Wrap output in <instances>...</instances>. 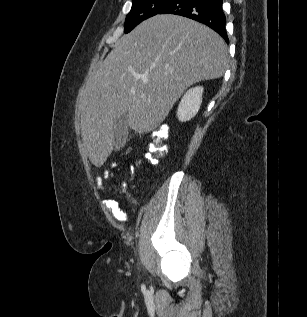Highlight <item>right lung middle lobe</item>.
<instances>
[{
  "mask_svg": "<svg viewBox=\"0 0 307 317\" xmlns=\"http://www.w3.org/2000/svg\"><path fill=\"white\" fill-rule=\"evenodd\" d=\"M172 0H132V8L125 19V33L142 21L159 14Z\"/></svg>",
  "mask_w": 307,
  "mask_h": 317,
  "instance_id": "right-lung-middle-lobe-1",
  "label": "right lung middle lobe"
}]
</instances>
